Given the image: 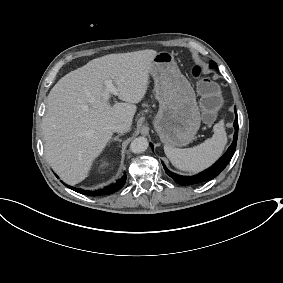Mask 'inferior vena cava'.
<instances>
[{
    "mask_svg": "<svg viewBox=\"0 0 283 283\" xmlns=\"http://www.w3.org/2000/svg\"><path fill=\"white\" fill-rule=\"evenodd\" d=\"M112 130L118 133H125L130 130V125L128 123L117 124L112 127Z\"/></svg>",
    "mask_w": 283,
    "mask_h": 283,
    "instance_id": "602c4592",
    "label": "inferior vena cava"
}]
</instances>
